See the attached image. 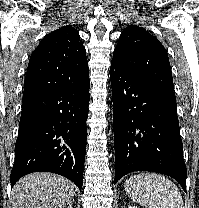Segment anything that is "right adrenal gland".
<instances>
[{
  "label": "right adrenal gland",
  "instance_id": "2a0ac1e0",
  "mask_svg": "<svg viewBox=\"0 0 199 208\" xmlns=\"http://www.w3.org/2000/svg\"><path fill=\"white\" fill-rule=\"evenodd\" d=\"M74 200L67 206V208H73Z\"/></svg>",
  "mask_w": 199,
  "mask_h": 208
}]
</instances>
